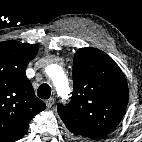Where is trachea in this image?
Instances as JSON below:
<instances>
[{
  "instance_id": "3493384b",
  "label": "trachea",
  "mask_w": 142,
  "mask_h": 142,
  "mask_svg": "<svg viewBox=\"0 0 142 142\" xmlns=\"http://www.w3.org/2000/svg\"><path fill=\"white\" fill-rule=\"evenodd\" d=\"M37 95L41 99H48L51 95V87L46 83L41 84L38 88Z\"/></svg>"
}]
</instances>
